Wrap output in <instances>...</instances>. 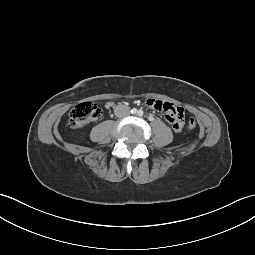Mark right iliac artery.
Returning <instances> with one entry per match:
<instances>
[{
    "label": "right iliac artery",
    "instance_id": "1",
    "mask_svg": "<svg viewBox=\"0 0 255 255\" xmlns=\"http://www.w3.org/2000/svg\"><path fill=\"white\" fill-rule=\"evenodd\" d=\"M131 113H132V114H136V113H137V109H136V108H133V109L131 110Z\"/></svg>",
    "mask_w": 255,
    "mask_h": 255
}]
</instances>
